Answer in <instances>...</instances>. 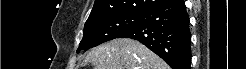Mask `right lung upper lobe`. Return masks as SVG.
Listing matches in <instances>:
<instances>
[{
	"label": "right lung upper lobe",
	"mask_w": 246,
	"mask_h": 69,
	"mask_svg": "<svg viewBox=\"0 0 246 69\" xmlns=\"http://www.w3.org/2000/svg\"><path fill=\"white\" fill-rule=\"evenodd\" d=\"M164 1L166 0H95L87 21L119 14H142Z\"/></svg>",
	"instance_id": "obj_1"
}]
</instances>
